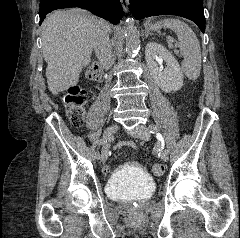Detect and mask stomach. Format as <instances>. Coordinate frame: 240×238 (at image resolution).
I'll return each mask as SVG.
<instances>
[{"label": "stomach", "mask_w": 240, "mask_h": 238, "mask_svg": "<svg viewBox=\"0 0 240 238\" xmlns=\"http://www.w3.org/2000/svg\"><path fill=\"white\" fill-rule=\"evenodd\" d=\"M145 28L147 31H157L161 28V24L148 21L145 23Z\"/></svg>", "instance_id": "stomach-1"}]
</instances>
